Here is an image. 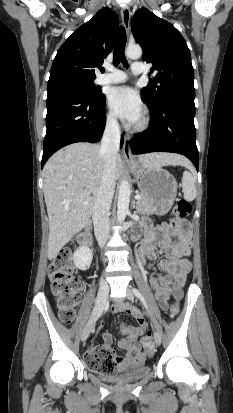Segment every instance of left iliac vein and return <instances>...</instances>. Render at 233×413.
Returning a JSON list of instances; mask_svg holds the SVG:
<instances>
[{"label":"left iliac vein","instance_id":"left-iliac-vein-1","mask_svg":"<svg viewBox=\"0 0 233 413\" xmlns=\"http://www.w3.org/2000/svg\"><path fill=\"white\" fill-rule=\"evenodd\" d=\"M126 295L129 300H134V294L130 288L126 290ZM154 342L157 346L161 344V335L157 331L154 332Z\"/></svg>","mask_w":233,"mask_h":413}]
</instances>
